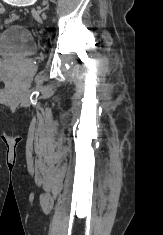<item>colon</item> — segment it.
<instances>
[{
    "mask_svg": "<svg viewBox=\"0 0 163 235\" xmlns=\"http://www.w3.org/2000/svg\"><path fill=\"white\" fill-rule=\"evenodd\" d=\"M18 20L17 14H11L5 19L6 24H12Z\"/></svg>",
    "mask_w": 163,
    "mask_h": 235,
    "instance_id": "colon-1",
    "label": "colon"
}]
</instances>
